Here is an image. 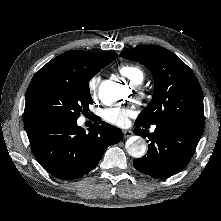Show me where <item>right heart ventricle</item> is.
I'll use <instances>...</instances> for the list:
<instances>
[{"label": "right heart ventricle", "mask_w": 221, "mask_h": 221, "mask_svg": "<svg viewBox=\"0 0 221 221\" xmlns=\"http://www.w3.org/2000/svg\"><path fill=\"white\" fill-rule=\"evenodd\" d=\"M121 75L130 80L133 84L139 85L143 82L145 73L143 69L135 64L124 63L118 67Z\"/></svg>", "instance_id": "right-heart-ventricle-1"}]
</instances>
